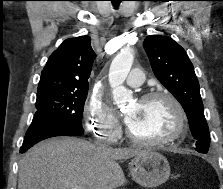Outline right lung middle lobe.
Segmentation results:
<instances>
[{
  "mask_svg": "<svg viewBox=\"0 0 223 189\" xmlns=\"http://www.w3.org/2000/svg\"><path fill=\"white\" fill-rule=\"evenodd\" d=\"M88 89L37 93V111L33 119L62 122L84 131L82 115Z\"/></svg>",
  "mask_w": 223,
  "mask_h": 189,
  "instance_id": "1",
  "label": "right lung middle lobe"
}]
</instances>
